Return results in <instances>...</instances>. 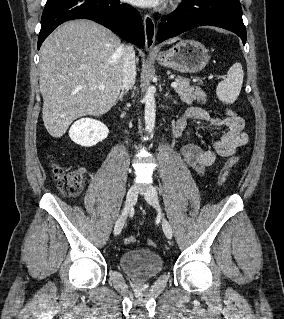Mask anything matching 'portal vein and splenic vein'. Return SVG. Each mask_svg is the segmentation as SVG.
Here are the masks:
<instances>
[{
	"label": "portal vein and splenic vein",
	"mask_w": 284,
	"mask_h": 319,
	"mask_svg": "<svg viewBox=\"0 0 284 319\" xmlns=\"http://www.w3.org/2000/svg\"><path fill=\"white\" fill-rule=\"evenodd\" d=\"M178 85H179L178 82H172V83H171V87H173V88H177ZM99 89H104V86H103V85H100V86H99Z\"/></svg>",
	"instance_id": "1"
}]
</instances>
